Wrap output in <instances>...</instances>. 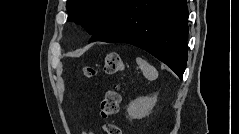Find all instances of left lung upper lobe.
<instances>
[{
    "mask_svg": "<svg viewBox=\"0 0 239 134\" xmlns=\"http://www.w3.org/2000/svg\"><path fill=\"white\" fill-rule=\"evenodd\" d=\"M125 0H67V21L82 24L89 34L95 35L114 18Z\"/></svg>",
    "mask_w": 239,
    "mask_h": 134,
    "instance_id": "obj_1",
    "label": "left lung upper lobe"
}]
</instances>
